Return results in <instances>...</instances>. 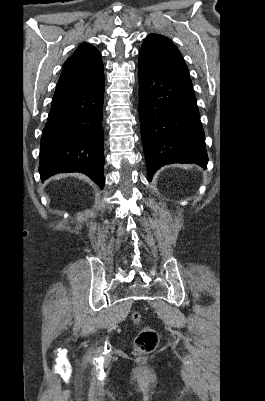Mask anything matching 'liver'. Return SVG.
<instances>
[{
  "label": "liver",
  "mask_w": 265,
  "mask_h": 401,
  "mask_svg": "<svg viewBox=\"0 0 265 401\" xmlns=\"http://www.w3.org/2000/svg\"><path fill=\"white\" fill-rule=\"evenodd\" d=\"M63 176H68V174H56L53 178H63Z\"/></svg>",
  "instance_id": "liver-1"
}]
</instances>
